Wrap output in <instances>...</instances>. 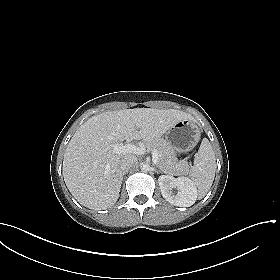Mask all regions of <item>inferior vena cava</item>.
Returning <instances> with one entry per match:
<instances>
[{
  "mask_svg": "<svg viewBox=\"0 0 280 280\" xmlns=\"http://www.w3.org/2000/svg\"><path fill=\"white\" fill-rule=\"evenodd\" d=\"M137 161L136 156L132 154L125 155L121 162H120V168L122 171L129 170Z\"/></svg>",
  "mask_w": 280,
  "mask_h": 280,
  "instance_id": "obj_1",
  "label": "inferior vena cava"
}]
</instances>
